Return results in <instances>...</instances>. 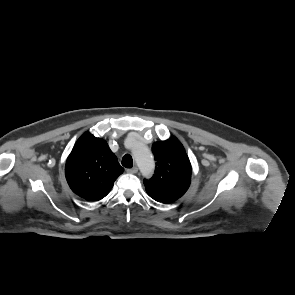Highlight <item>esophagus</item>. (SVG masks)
I'll return each instance as SVG.
<instances>
[{
	"mask_svg": "<svg viewBox=\"0 0 295 295\" xmlns=\"http://www.w3.org/2000/svg\"><path fill=\"white\" fill-rule=\"evenodd\" d=\"M127 172L130 174H135L138 172V168L137 167H133L131 169H127Z\"/></svg>",
	"mask_w": 295,
	"mask_h": 295,
	"instance_id": "1",
	"label": "esophagus"
}]
</instances>
